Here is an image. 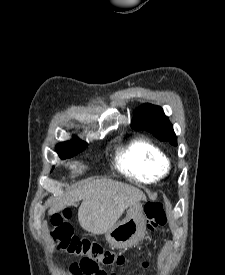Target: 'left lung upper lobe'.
<instances>
[{"label":"left lung upper lobe","instance_id":"left-lung-upper-lobe-1","mask_svg":"<svg viewBox=\"0 0 225 275\" xmlns=\"http://www.w3.org/2000/svg\"><path fill=\"white\" fill-rule=\"evenodd\" d=\"M131 127L135 130H146L161 141H168L174 146L177 145L172 124L159 106L152 104L140 106L134 114Z\"/></svg>","mask_w":225,"mask_h":275}]
</instances>
